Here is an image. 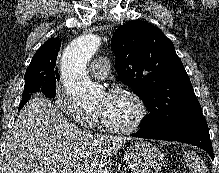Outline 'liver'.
Returning a JSON list of instances; mask_svg holds the SVG:
<instances>
[{"instance_id": "obj_1", "label": "liver", "mask_w": 219, "mask_h": 173, "mask_svg": "<svg viewBox=\"0 0 219 173\" xmlns=\"http://www.w3.org/2000/svg\"><path fill=\"white\" fill-rule=\"evenodd\" d=\"M126 137L85 132L43 96L20 110L7 138L4 173H109Z\"/></svg>"}]
</instances>
